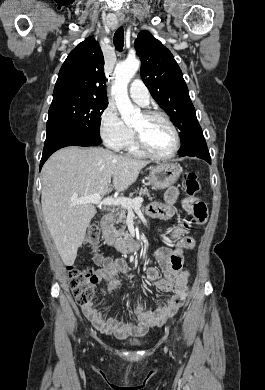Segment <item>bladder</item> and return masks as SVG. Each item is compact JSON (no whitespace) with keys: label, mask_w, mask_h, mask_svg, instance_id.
Wrapping results in <instances>:
<instances>
[{"label":"bladder","mask_w":265,"mask_h":390,"mask_svg":"<svg viewBox=\"0 0 265 390\" xmlns=\"http://www.w3.org/2000/svg\"><path fill=\"white\" fill-rule=\"evenodd\" d=\"M127 344L132 347H139L143 345V340L141 339H130L127 341Z\"/></svg>","instance_id":"31cf9c89"}]
</instances>
